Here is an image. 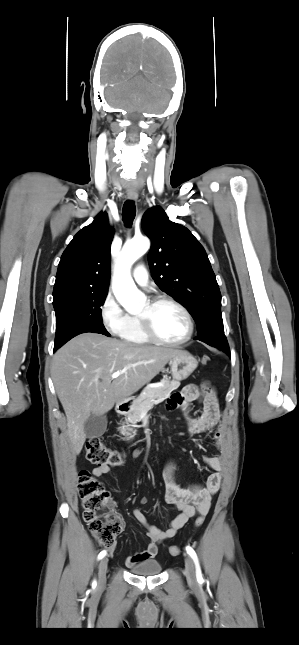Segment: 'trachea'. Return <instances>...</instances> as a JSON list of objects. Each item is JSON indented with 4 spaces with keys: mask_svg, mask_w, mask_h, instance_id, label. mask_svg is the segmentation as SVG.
<instances>
[{
    "mask_svg": "<svg viewBox=\"0 0 299 645\" xmlns=\"http://www.w3.org/2000/svg\"><path fill=\"white\" fill-rule=\"evenodd\" d=\"M135 215H136V207L134 202L131 200H127L124 203L123 210H122L123 222L127 227H130L132 225Z\"/></svg>",
    "mask_w": 299,
    "mask_h": 645,
    "instance_id": "obj_1",
    "label": "trachea"
}]
</instances>
